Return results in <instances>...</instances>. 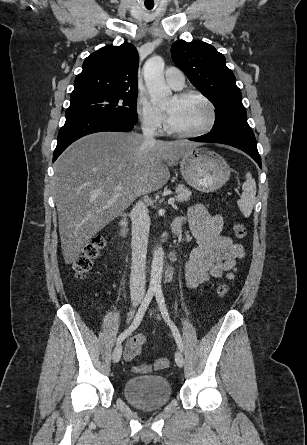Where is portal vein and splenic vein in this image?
<instances>
[{
    "instance_id": "portal-vein-and-splenic-vein-1",
    "label": "portal vein and splenic vein",
    "mask_w": 307,
    "mask_h": 445,
    "mask_svg": "<svg viewBox=\"0 0 307 445\" xmlns=\"http://www.w3.org/2000/svg\"><path fill=\"white\" fill-rule=\"evenodd\" d=\"M116 188H117V190H122V186H120V184H118V186H116ZM174 202H175V198H169L168 204H172V206H173Z\"/></svg>"
}]
</instances>
